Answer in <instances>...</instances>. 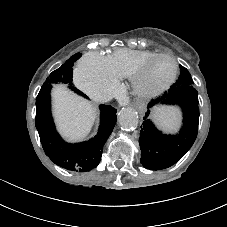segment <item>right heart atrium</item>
I'll return each instance as SVG.
<instances>
[{
  "instance_id": "right-heart-atrium-1",
  "label": "right heart atrium",
  "mask_w": 227,
  "mask_h": 227,
  "mask_svg": "<svg viewBox=\"0 0 227 227\" xmlns=\"http://www.w3.org/2000/svg\"><path fill=\"white\" fill-rule=\"evenodd\" d=\"M75 81L83 92L97 100H104L113 95L119 85L107 57L94 51L85 54L80 60Z\"/></svg>"
}]
</instances>
